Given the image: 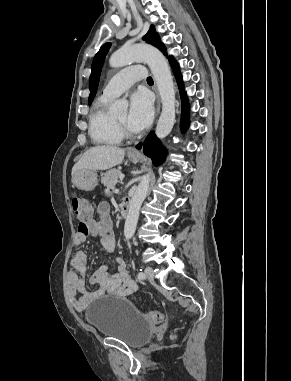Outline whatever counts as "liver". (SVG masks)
Wrapping results in <instances>:
<instances>
[{
	"label": "liver",
	"instance_id": "1",
	"mask_svg": "<svg viewBox=\"0 0 291 381\" xmlns=\"http://www.w3.org/2000/svg\"><path fill=\"white\" fill-rule=\"evenodd\" d=\"M125 150L112 145H100L88 149L72 168L73 176L80 170H107L122 163Z\"/></svg>",
	"mask_w": 291,
	"mask_h": 381
}]
</instances>
